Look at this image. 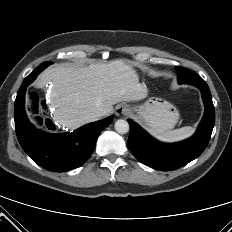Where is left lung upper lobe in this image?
<instances>
[{"label":"left lung upper lobe","instance_id":"1","mask_svg":"<svg viewBox=\"0 0 232 232\" xmlns=\"http://www.w3.org/2000/svg\"><path fill=\"white\" fill-rule=\"evenodd\" d=\"M177 75H178V82L183 83L187 77L186 71L182 67H176Z\"/></svg>","mask_w":232,"mask_h":232}]
</instances>
